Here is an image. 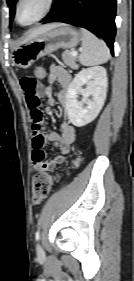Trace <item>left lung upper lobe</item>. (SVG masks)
I'll list each match as a JSON object with an SVG mask.
<instances>
[{"label":"left lung upper lobe","instance_id":"5c2ea615","mask_svg":"<svg viewBox=\"0 0 134 281\" xmlns=\"http://www.w3.org/2000/svg\"><path fill=\"white\" fill-rule=\"evenodd\" d=\"M18 0H7V4L10 7V22L13 20L14 18V14H15V4Z\"/></svg>","mask_w":134,"mask_h":281}]
</instances>
